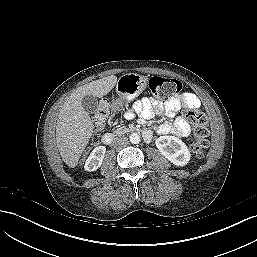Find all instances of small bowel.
I'll list each match as a JSON object with an SVG mask.
<instances>
[{
  "label": "small bowel",
  "instance_id": "c3829d8e",
  "mask_svg": "<svg viewBox=\"0 0 257 257\" xmlns=\"http://www.w3.org/2000/svg\"><path fill=\"white\" fill-rule=\"evenodd\" d=\"M200 106L199 98L190 92L170 98L165 103L155 99L143 98L137 100L130 111L124 113L125 119H131L135 114L142 117H150L154 113H162L166 116H173L181 107L194 109ZM157 133L162 135L173 134L177 137H185L190 133L188 122L178 117L174 122H164L156 128Z\"/></svg>",
  "mask_w": 257,
  "mask_h": 257
}]
</instances>
